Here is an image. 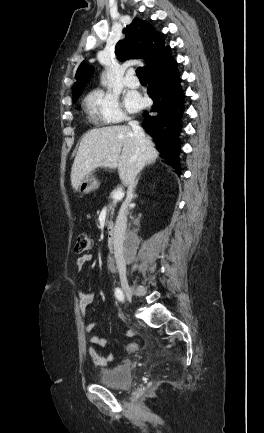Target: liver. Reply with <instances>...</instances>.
<instances>
[{"mask_svg": "<svg viewBox=\"0 0 264 433\" xmlns=\"http://www.w3.org/2000/svg\"><path fill=\"white\" fill-rule=\"evenodd\" d=\"M146 164L155 162L159 153L150 136H145ZM136 141L128 126H109L88 131L82 138L71 171V184L78 190L82 180L98 167L118 168L119 177L128 185L136 167Z\"/></svg>", "mask_w": 264, "mask_h": 433, "instance_id": "obj_1", "label": "liver"}]
</instances>
